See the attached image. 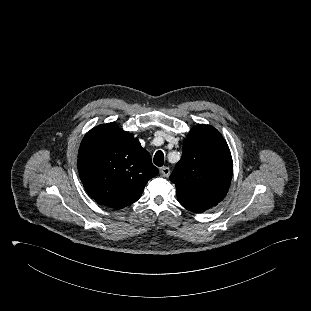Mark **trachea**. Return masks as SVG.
Segmentation results:
<instances>
[{
    "label": "trachea",
    "instance_id": "obj_1",
    "mask_svg": "<svg viewBox=\"0 0 311 311\" xmlns=\"http://www.w3.org/2000/svg\"><path fill=\"white\" fill-rule=\"evenodd\" d=\"M153 162L158 167H161L164 163V153L162 151L158 150L154 155Z\"/></svg>",
    "mask_w": 311,
    "mask_h": 311
}]
</instances>
